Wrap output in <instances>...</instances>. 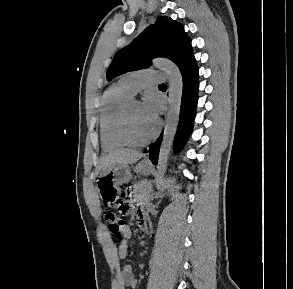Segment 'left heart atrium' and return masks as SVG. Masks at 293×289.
Segmentation results:
<instances>
[{
  "instance_id": "obj_1",
  "label": "left heart atrium",
  "mask_w": 293,
  "mask_h": 289,
  "mask_svg": "<svg viewBox=\"0 0 293 289\" xmlns=\"http://www.w3.org/2000/svg\"><path fill=\"white\" fill-rule=\"evenodd\" d=\"M142 107L146 116L150 120L157 122L161 111L159 99L153 94H148L142 103Z\"/></svg>"
}]
</instances>
